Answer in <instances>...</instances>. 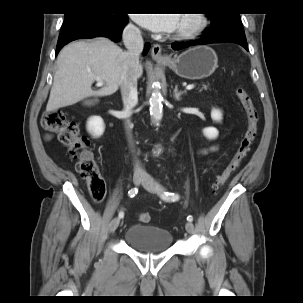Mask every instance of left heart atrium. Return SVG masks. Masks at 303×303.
Segmentation results:
<instances>
[{
    "instance_id": "1",
    "label": "left heart atrium",
    "mask_w": 303,
    "mask_h": 303,
    "mask_svg": "<svg viewBox=\"0 0 303 303\" xmlns=\"http://www.w3.org/2000/svg\"><path fill=\"white\" fill-rule=\"evenodd\" d=\"M136 21L154 32H171L179 23L178 14H135Z\"/></svg>"
}]
</instances>
